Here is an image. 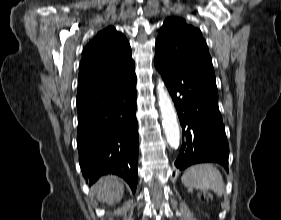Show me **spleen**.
<instances>
[{"label": "spleen", "instance_id": "spleen-1", "mask_svg": "<svg viewBox=\"0 0 281 220\" xmlns=\"http://www.w3.org/2000/svg\"><path fill=\"white\" fill-rule=\"evenodd\" d=\"M182 183L188 188L212 190L218 196L225 193V185L220 171L210 163L189 167L182 175Z\"/></svg>", "mask_w": 281, "mask_h": 220}]
</instances>
